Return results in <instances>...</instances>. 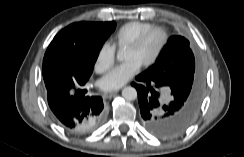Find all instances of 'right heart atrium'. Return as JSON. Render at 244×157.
Returning <instances> with one entry per match:
<instances>
[{
    "label": "right heart atrium",
    "instance_id": "1",
    "mask_svg": "<svg viewBox=\"0 0 244 157\" xmlns=\"http://www.w3.org/2000/svg\"><path fill=\"white\" fill-rule=\"evenodd\" d=\"M116 56V48L114 44L105 41L103 42L96 54L94 68L99 74H104L109 71L114 63Z\"/></svg>",
    "mask_w": 244,
    "mask_h": 157
}]
</instances>
